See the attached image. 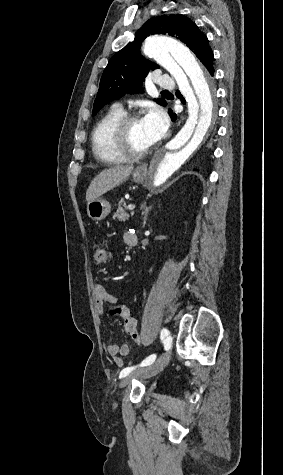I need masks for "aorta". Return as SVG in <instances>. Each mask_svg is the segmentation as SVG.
Wrapping results in <instances>:
<instances>
[{
	"mask_svg": "<svg viewBox=\"0 0 283 475\" xmlns=\"http://www.w3.org/2000/svg\"><path fill=\"white\" fill-rule=\"evenodd\" d=\"M143 52L176 80L188 103V118L180 131L153 156L145 187L159 190L197 153L216 117L214 85L190 50L166 36L145 40Z\"/></svg>",
	"mask_w": 283,
	"mask_h": 475,
	"instance_id": "1",
	"label": "aorta"
}]
</instances>
